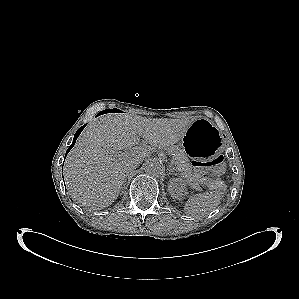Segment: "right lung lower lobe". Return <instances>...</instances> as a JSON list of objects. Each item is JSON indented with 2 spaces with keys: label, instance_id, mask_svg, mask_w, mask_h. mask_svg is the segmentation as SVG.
<instances>
[{
  "label": "right lung lower lobe",
  "instance_id": "98d812e1",
  "mask_svg": "<svg viewBox=\"0 0 299 299\" xmlns=\"http://www.w3.org/2000/svg\"><path fill=\"white\" fill-rule=\"evenodd\" d=\"M86 126V124L82 127H80L78 129V131L75 133L74 135V139H73V142L71 144V146L68 148L67 152H66V155L69 153V151L73 148V146L75 145V142H76V139L78 138V136L80 135V133L82 132V130L84 129V127Z\"/></svg>",
  "mask_w": 299,
  "mask_h": 299
}]
</instances>
